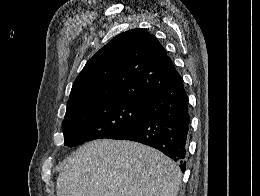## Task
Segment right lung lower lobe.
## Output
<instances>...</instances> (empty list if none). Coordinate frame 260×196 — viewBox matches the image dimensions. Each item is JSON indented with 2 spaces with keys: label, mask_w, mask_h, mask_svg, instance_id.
Listing matches in <instances>:
<instances>
[{
  "label": "right lung lower lobe",
  "mask_w": 260,
  "mask_h": 196,
  "mask_svg": "<svg viewBox=\"0 0 260 196\" xmlns=\"http://www.w3.org/2000/svg\"><path fill=\"white\" fill-rule=\"evenodd\" d=\"M147 118L113 139L140 142L162 151L186 169L190 129L188 97L182 78L139 101Z\"/></svg>",
  "instance_id": "98d812e1"
}]
</instances>
